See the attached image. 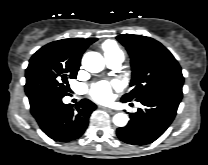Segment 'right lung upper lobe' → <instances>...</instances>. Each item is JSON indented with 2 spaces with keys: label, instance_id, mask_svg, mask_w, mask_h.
Listing matches in <instances>:
<instances>
[{
  "label": "right lung upper lobe",
  "instance_id": "right-lung-upper-lobe-1",
  "mask_svg": "<svg viewBox=\"0 0 208 165\" xmlns=\"http://www.w3.org/2000/svg\"><path fill=\"white\" fill-rule=\"evenodd\" d=\"M96 38H72V39H62L58 41L51 42L47 46L58 48L64 51L69 58L77 60L80 62L81 56L89 45L95 42Z\"/></svg>",
  "mask_w": 208,
  "mask_h": 165
}]
</instances>
